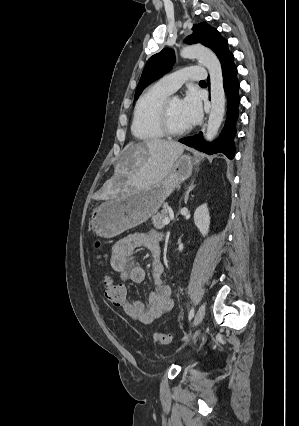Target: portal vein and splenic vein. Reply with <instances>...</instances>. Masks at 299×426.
<instances>
[{"label": "portal vein and splenic vein", "mask_w": 299, "mask_h": 426, "mask_svg": "<svg viewBox=\"0 0 299 426\" xmlns=\"http://www.w3.org/2000/svg\"><path fill=\"white\" fill-rule=\"evenodd\" d=\"M169 223H170V218H169V217H165V218L163 219V224L167 225V224H169Z\"/></svg>", "instance_id": "18ae733b"}]
</instances>
